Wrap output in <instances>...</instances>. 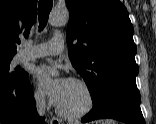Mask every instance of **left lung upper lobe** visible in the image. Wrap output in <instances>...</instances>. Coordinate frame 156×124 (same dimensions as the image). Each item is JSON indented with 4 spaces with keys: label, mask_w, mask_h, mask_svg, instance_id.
I'll return each instance as SVG.
<instances>
[{
    "label": "left lung upper lobe",
    "mask_w": 156,
    "mask_h": 124,
    "mask_svg": "<svg viewBox=\"0 0 156 124\" xmlns=\"http://www.w3.org/2000/svg\"><path fill=\"white\" fill-rule=\"evenodd\" d=\"M66 4L69 58L93 103L110 95L140 100L134 29L125 6L119 0H66Z\"/></svg>",
    "instance_id": "obj_1"
}]
</instances>
